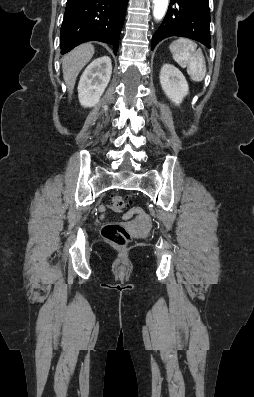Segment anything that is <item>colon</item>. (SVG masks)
Segmentation results:
<instances>
[{
    "instance_id": "5ec220e1",
    "label": "colon",
    "mask_w": 254,
    "mask_h": 397,
    "mask_svg": "<svg viewBox=\"0 0 254 397\" xmlns=\"http://www.w3.org/2000/svg\"><path fill=\"white\" fill-rule=\"evenodd\" d=\"M131 200L129 197L122 195H113L111 197V208L120 212L129 206ZM103 237L113 246L124 248L127 247L132 237L130 233L120 224H107L102 229Z\"/></svg>"
}]
</instances>
